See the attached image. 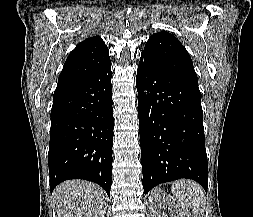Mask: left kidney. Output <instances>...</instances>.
Returning a JSON list of instances; mask_svg holds the SVG:
<instances>
[{"label":"left kidney","instance_id":"obj_1","mask_svg":"<svg viewBox=\"0 0 253 217\" xmlns=\"http://www.w3.org/2000/svg\"><path fill=\"white\" fill-rule=\"evenodd\" d=\"M151 202L155 217H167L166 214L162 212L164 205L168 206L174 217H192L188 208L183 203H179L161 189H156L154 191Z\"/></svg>","mask_w":253,"mask_h":217}]
</instances>
